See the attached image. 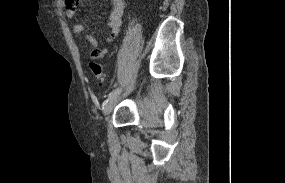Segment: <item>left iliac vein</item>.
Segmentation results:
<instances>
[{
  "label": "left iliac vein",
  "instance_id": "left-iliac-vein-1",
  "mask_svg": "<svg viewBox=\"0 0 285 183\" xmlns=\"http://www.w3.org/2000/svg\"><path fill=\"white\" fill-rule=\"evenodd\" d=\"M134 83L131 84V86L127 89V91L123 94L118 93L116 96L112 97L111 99L108 100L106 103L104 109H103V114L105 118L109 116V114L112 112L116 104L122 99V97L126 96L130 91L133 89Z\"/></svg>",
  "mask_w": 285,
  "mask_h": 183
}]
</instances>
